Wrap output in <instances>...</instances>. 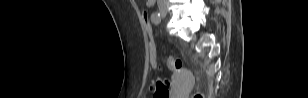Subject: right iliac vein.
Listing matches in <instances>:
<instances>
[{
	"mask_svg": "<svg viewBox=\"0 0 308 98\" xmlns=\"http://www.w3.org/2000/svg\"><path fill=\"white\" fill-rule=\"evenodd\" d=\"M159 12L162 16H167L168 14V8L165 5H162L159 7Z\"/></svg>",
	"mask_w": 308,
	"mask_h": 98,
	"instance_id": "1",
	"label": "right iliac vein"
}]
</instances>
